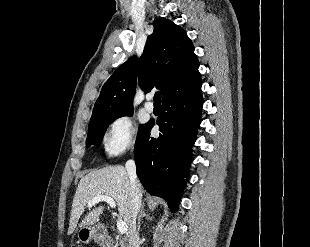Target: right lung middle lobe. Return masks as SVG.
Wrapping results in <instances>:
<instances>
[{
    "label": "right lung middle lobe",
    "mask_w": 310,
    "mask_h": 247,
    "mask_svg": "<svg viewBox=\"0 0 310 247\" xmlns=\"http://www.w3.org/2000/svg\"><path fill=\"white\" fill-rule=\"evenodd\" d=\"M133 110H129L117 115L113 116H106L99 118L89 124L88 136L86 145L89 147L92 144L99 145L103 139L104 133L110 123H112L115 119L122 117V116H131ZM144 125L139 127V131L142 129ZM138 131V132H139Z\"/></svg>",
    "instance_id": "1"
}]
</instances>
